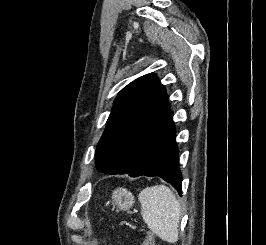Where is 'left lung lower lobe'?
Segmentation results:
<instances>
[{
	"instance_id": "left-lung-lower-lobe-1",
	"label": "left lung lower lobe",
	"mask_w": 266,
	"mask_h": 245,
	"mask_svg": "<svg viewBox=\"0 0 266 245\" xmlns=\"http://www.w3.org/2000/svg\"><path fill=\"white\" fill-rule=\"evenodd\" d=\"M173 112H168L140 141L135 158L125 174L131 177L158 176L170 183L181 195L182 174L175 142Z\"/></svg>"
}]
</instances>
